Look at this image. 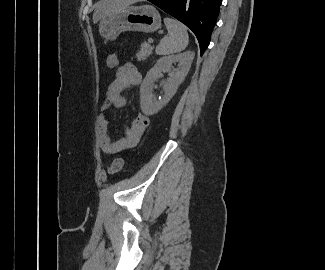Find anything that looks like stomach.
I'll use <instances>...</instances> for the list:
<instances>
[{"instance_id": "obj_1", "label": "stomach", "mask_w": 325, "mask_h": 270, "mask_svg": "<svg viewBox=\"0 0 325 270\" xmlns=\"http://www.w3.org/2000/svg\"><path fill=\"white\" fill-rule=\"evenodd\" d=\"M161 28V17L150 5L119 9L102 18L99 33L105 40H115L125 31L154 32Z\"/></svg>"}]
</instances>
